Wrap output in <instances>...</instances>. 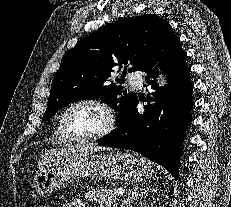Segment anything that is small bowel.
<instances>
[{"label": "small bowel", "mask_w": 231, "mask_h": 207, "mask_svg": "<svg viewBox=\"0 0 231 207\" xmlns=\"http://www.w3.org/2000/svg\"><path fill=\"white\" fill-rule=\"evenodd\" d=\"M63 207H86V205L82 199L75 198L65 203Z\"/></svg>", "instance_id": "c3829d8e"}]
</instances>
